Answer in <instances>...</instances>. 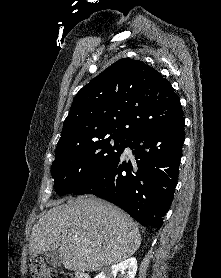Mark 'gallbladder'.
Returning <instances> with one entry per match:
<instances>
[{"label": "gallbladder", "mask_w": 221, "mask_h": 278, "mask_svg": "<svg viewBox=\"0 0 221 278\" xmlns=\"http://www.w3.org/2000/svg\"><path fill=\"white\" fill-rule=\"evenodd\" d=\"M44 259L50 266H52L54 268H58V267L62 266V259L60 257L58 249L45 253Z\"/></svg>", "instance_id": "1"}]
</instances>
